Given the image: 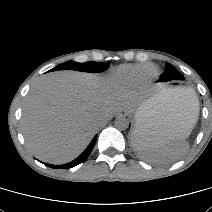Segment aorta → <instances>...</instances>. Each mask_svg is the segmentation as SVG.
Instances as JSON below:
<instances>
[{"mask_svg":"<svg viewBox=\"0 0 212 212\" xmlns=\"http://www.w3.org/2000/svg\"><path fill=\"white\" fill-rule=\"evenodd\" d=\"M115 127L119 130H125L128 128V120L123 116H118L115 120Z\"/></svg>","mask_w":212,"mask_h":212,"instance_id":"762f6f07","label":"aorta"}]
</instances>
